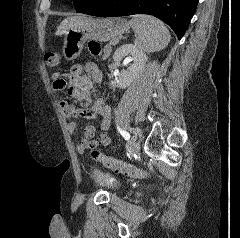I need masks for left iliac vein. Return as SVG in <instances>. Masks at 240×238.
I'll return each mask as SVG.
<instances>
[{
	"mask_svg": "<svg viewBox=\"0 0 240 238\" xmlns=\"http://www.w3.org/2000/svg\"><path fill=\"white\" fill-rule=\"evenodd\" d=\"M134 143H135V142H134ZM136 143H137L136 145L133 144V146H132V154H133V153H138L139 150H140V141H137Z\"/></svg>",
	"mask_w": 240,
	"mask_h": 238,
	"instance_id": "1",
	"label": "left iliac vein"
}]
</instances>
